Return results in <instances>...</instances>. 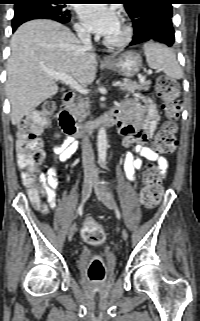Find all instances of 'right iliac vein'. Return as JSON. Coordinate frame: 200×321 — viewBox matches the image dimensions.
I'll list each match as a JSON object with an SVG mask.
<instances>
[{"label":"right iliac vein","instance_id":"63e3f726","mask_svg":"<svg viewBox=\"0 0 200 321\" xmlns=\"http://www.w3.org/2000/svg\"><path fill=\"white\" fill-rule=\"evenodd\" d=\"M94 176L93 175H87L84 181L83 189H82V202H85L91 193V188L93 184ZM76 226L75 223H73L68 232V238L71 239L74 235Z\"/></svg>","mask_w":200,"mask_h":321}]
</instances>
